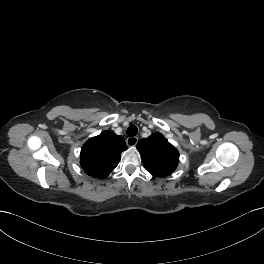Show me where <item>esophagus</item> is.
<instances>
[{
    "label": "esophagus",
    "mask_w": 264,
    "mask_h": 264,
    "mask_svg": "<svg viewBox=\"0 0 264 264\" xmlns=\"http://www.w3.org/2000/svg\"><path fill=\"white\" fill-rule=\"evenodd\" d=\"M126 142L129 146H135L138 142V137H136V136L128 137Z\"/></svg>",
    "instance_id": "esophagus-1"
}]
</instances>
